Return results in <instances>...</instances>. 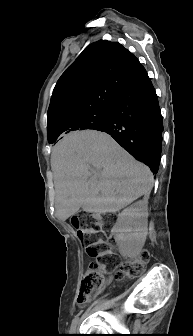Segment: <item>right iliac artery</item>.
I'll use <instances>...</instances> for the list:
<instances>
[{
  "instance_id": "1",
  "label": "right iliac artery",
  "mask_w": 193,
  "mask_h": 336,
  "mask_svg": "<svg viewBox=\"0 0 193 336\" xmlns=\"http://www.w3.org/2000/svg\"><path fill=\"white\" fill-rule=\"evenodd\" d=\"M77 322H78V316H76L73 320H72V324H71V327H70V331L73 332L76 328V325H77Z\"/></svg>"
}]
</instances>
